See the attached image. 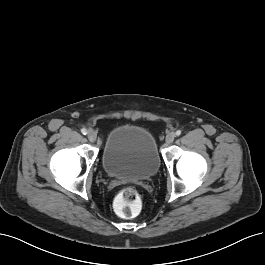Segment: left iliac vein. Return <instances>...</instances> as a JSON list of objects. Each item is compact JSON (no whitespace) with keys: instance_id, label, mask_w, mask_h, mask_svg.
I'll return each mask as SVG.
<instances>
[{"instance_id":"obj_1","label":"left iliac vein","mask_w":265,"mask_h":265,"mask_svg":"<svg viewBox=\"0 0 265 265\" xmlns=\"http://www.w3.org/2000/svg\"><path fill=\"white\" fill-rule=\"evenodd\" d=\"M174 139H175V133L173 132L168 133L165 139L166 144H171L174 141Z\"/></svg>"}]
</instances>
